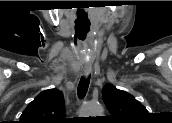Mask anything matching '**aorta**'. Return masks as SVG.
Here are the masks:
<instances>
[{
  "instance_id": "1",
  "label": "aorta",
  "mask_w": 172,
  "mask_h": 123,
  "mask_svg": "<svg viewBox=\"0 0 172 123\" xmlns=\"http://www.w3.org/2000/svg\"><path fill=\"white\" fill-rule=\"evenodd\" d=\"M103 113V108L100 104L87 102L84 105V115H87L85 117L89 116H101Z\"/></svg>"
}]
</instances>
